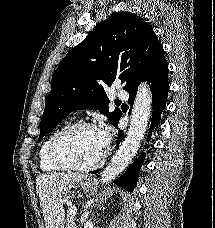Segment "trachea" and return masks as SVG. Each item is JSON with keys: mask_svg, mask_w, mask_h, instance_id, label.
Masks as SVG:
<instances>
[{"mask_svg": "<svg viewBox=\"0 0 215 228\" xmlns=\"http://www.w3.org/2000/svg\"><path fill=\"white\" fill-rule=\"evenodd\" d=\"M115 104L116 105H121V101L120 100H115Z\"/></svg>", "mask_w": 215, "mask_h": 228, "instance_id": "1", "label": "trachea"}]
</instances>
